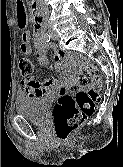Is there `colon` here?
Returning <instances> with one entry per match:
<instances>
[{
  "instance_id": "colon-1",
  "label": "colon",
  "mask_w": 123,
  "mask_h": 167,
  "mask_svg": "<svg viewBox=\"0 0 123 167\" xmlns=\"http://www.w3.org/2000/svg\"><path fill=\"white\" fill-rule=\"evenodd\" d=\"M19 70L23 76L33 71V63L27 57L19 61ZM82 88L73 95L62 94L54 108V128L60 140H67L86 119L92 115L100 102V90L103 78L92 62L84 61L79 66Z\"/></svg>"
}]
</instances>
